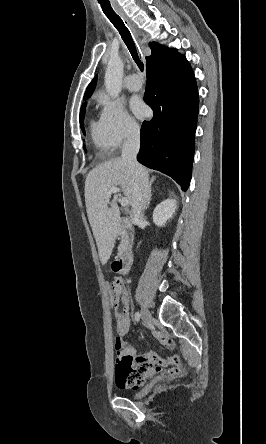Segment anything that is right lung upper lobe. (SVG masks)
Returning <instances> with one entry per match:
<instances>
[{"label":"right lung upper lobe","instance_id":"obj_1","mask_svg":"<svg viewBox=\"0 0 266 444\" xmlns=\"http://www.w3.org/2000/svg\"><path fill=\"white\" fill-rule=\"evenodd\" d=\"M149 45L152 50V54L151 56L146 57L147 68L163 64L180 56L176 49L165 48L164 46L159 45L155 42H152ZM96 83L97 76H95L88 85L84 95V100L88 99L92 95L96 87Z\"/></svg>","mask_w":266,"mask_h":444}]
</instances>
